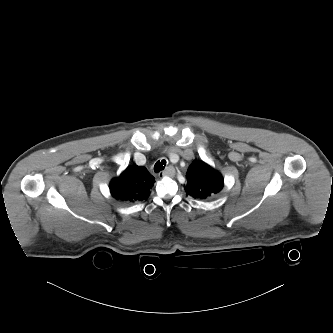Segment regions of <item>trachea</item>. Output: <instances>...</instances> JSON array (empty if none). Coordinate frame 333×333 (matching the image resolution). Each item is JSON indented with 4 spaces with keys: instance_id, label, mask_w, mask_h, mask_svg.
<instances>
[{
    "instance_id": "1",
    "label": "trachea",
    "mask_w": 333,
    "mask_h": 333,
    "mask_svg": "<svg viewBox=\"0 0 333 333\" xmlns=\"http://www.w3.org/2000/svg\"><path fill=\"white\" fill-rule=\"evenodd\" d=\"M166 163L167 162L164 159L162 161H160V160L157 161L154 165V172L158 173V172L164 170Z\"/></svg>"
}]
</instances>
